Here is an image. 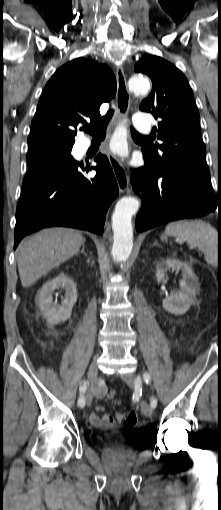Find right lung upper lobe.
<instances>
[{"label": "right lung upper lobe", "mask_w": 221, "mask_h": 510, "mask_svg": "<svg viewBox=\"0 0 221 510\" xmlns=\"http://www.w3.org/2000/svg\"><path fill=\"white\" fill-rule=\"evenodd\" d=\"M116 93V80L105 64L77 58L60 67L46 84L32 120L29 152L73 146L81 124H96L99 108Z\"/></svg>", "instance_id": "obj_1"}]
</instances>
